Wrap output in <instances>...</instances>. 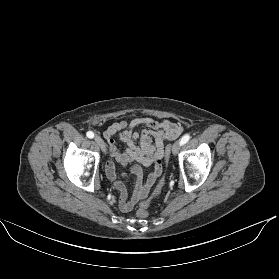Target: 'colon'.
Returning <instances> with one entry per match:
<instances>
[{
    "label": "colon",
    "mask_w": 279,
    "mask_h": 279,
    "mask_svg": "<svg viewBox=\"0 0 279 279\" xmlns=\"http://www.w3.org/2000/svg\"><path fill=\"white\" fill-rule=\"evenodd\" d=\"M170 153H171V146L168 145L165 149V160L168 161L169 159V156H170ZM164 185V178H161L157 184V186L155 187L154 189V192L151 196L150 199L146 200V201H143L140 205H139V208L137 209V216L140 217V218H145L148 216V209H149V206L151 204V200L156 197L157 195H159V193L161 192L162 190V187Z\"/></svg>",
    "instance_id": "colon-1"
}]
</instances>
